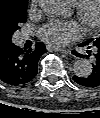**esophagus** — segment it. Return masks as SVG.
<instances>
[{
    "label": "esophagus",
    "instance_id": "34e87169",
    "mask_svg": "<svg viewBox=\"0 0 100 118\" xmlns=\"http://www.w3.org/2000/svg\"><path fill=\"white\" fill-rule=\"evenodd\" d=\"M46 49H47L48 51H62V52L65 53V54H71L68 50H59V49H57V48H53V47L50 46V45H46Z\"/></svg>",
    "mask_w": 100,
    "mask_h": 118
}]
</instances>
